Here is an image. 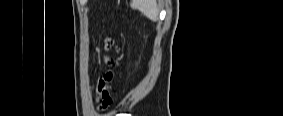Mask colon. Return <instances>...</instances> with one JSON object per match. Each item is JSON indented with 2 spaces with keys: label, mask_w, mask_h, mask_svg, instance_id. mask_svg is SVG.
I'll return each mask as SVG.
<instances>
[{
  "label": "colon",
  "mask_w": 283,
  "mask_h": 116,
  "mask_svg": "<svg viewBox=\"0 0 283 116\" xmlns=\"http://www.w3.org/2000/svg\"><path fill=\"white\" fill-rule=\"evenodd\" d=\"M113 44H114V41H113V39L111 37H107L105 39L104 48H105L106 54L104 56V62L106 64H108V65L114 64V59L111 56L108 55V52L112 48ZM112 78H113V74L111 72H109V73H106L105 75L102 76V81H103V83L104 82L108 83V82H110L112 80ZM110 102H111V98L110 97L109 98H104L102 100V102H100V108L101 109H106L109 106Z\"/></svg>",
  "instance_id": "5ec220e1"
}]
</instances>
